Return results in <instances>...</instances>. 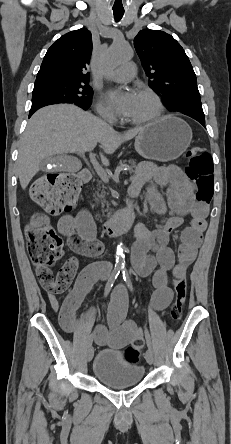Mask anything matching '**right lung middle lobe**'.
Returning <instances> with one entry per match:
<instances>
[{
  "instance_id": "obj_1",
  "label": "right lung middle lobe",
  "mask_w": 231,
  "mask_h": 444,
  "mask_svg": "<svg viewBox=\"0 0 231 444\" xmlns=\"http://www.w3.org/2000/svg\"><path fill=\"white\" fill-rule=\"evenodd\" d=\"M91 99L92 89L87 84L51 83L34 86L31 108L55 103H73L88 109Z\"/></svg>"
}]
</instances>
